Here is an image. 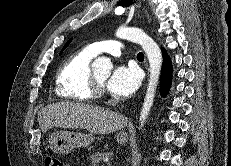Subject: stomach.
Segmentation results:
<instances>
[{
  "mask_svg": "<svg viewBox=\"0 0 231 166\" xmlns=\"http://www.w3.org/2000/svg\"><path fill=\"white\" fill-rule=\"evenodd\" d=\"M95 139L92 133L56 131L49 136V145L53 152L65 155L76 148L90 146ZM116 140L119 144H125L127 142L126 133H118Z\"/></svg>",
  "mask_w": 231,
  "mask_h": 166,
  "instance_id": "stomach-1",
  "label": "stomach"
}]
</instances>
